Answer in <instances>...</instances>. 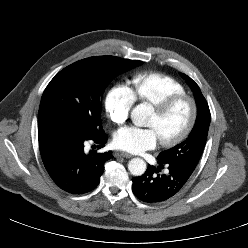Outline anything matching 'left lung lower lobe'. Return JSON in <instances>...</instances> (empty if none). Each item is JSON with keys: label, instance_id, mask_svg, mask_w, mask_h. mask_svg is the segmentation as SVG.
<instances>
[{"label": "left lung lower lobe", "instance_id": "1", "mask_svg": "<svg viewBox=\"0 0 248 248\" xmlns=\"http://www.w3.org/2000/svg\"><path fill=\"white\" fill-rule=\"evenodd\" d=\"M159 166H148L146 172L132 179V191L141 201L147 203H159L166 201L176 195L186 184L195 168L189 166L162 163ZM166 166V174L158 172Z\"/></svg>", "mask_w": 248, "mask_h": 248}]
</instances>
